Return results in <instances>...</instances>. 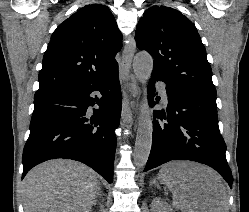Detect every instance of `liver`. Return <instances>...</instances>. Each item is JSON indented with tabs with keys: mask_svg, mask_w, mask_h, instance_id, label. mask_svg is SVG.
<instances>
[{
	"mask_svg": "<svg viewBox=\"0 0 249 212\" xmlns=\"http://www.w3.org/2000/svg\"><path fill=\"white\" fill-rule=\"evenodd\" d=\"M181 212H228L221 176L196 162H171L158 174ZM25 212H91L100 192L95 172L73 160H49L22 182Z\"/></svg>",
	"mask_w": 249,
	"mask_h": 212,
	"instance_id": "liver-1",
	"label": "liver"
}]
</instances>
